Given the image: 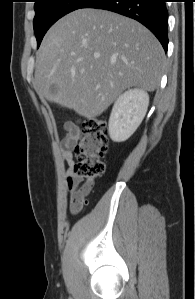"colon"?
<instances>
[{"label": "colon", "instance_id": "colon-1", "mask_svg": "<svg viewBox=\"0 0 195 299\" xmlns=\"http://www.w3.org/2000/svg\"><path fill=\"white\" fill-rule=\"evenodd\" d=\"M106 134L107 125L99 118L88 119L83 124L81 136L74 147L76 163L69 204L72 213H77L87 203L96 179L105 172Z\"/></svg>", "mask_w": 195, "mask_h": 299}]
</instances>
